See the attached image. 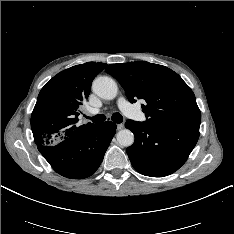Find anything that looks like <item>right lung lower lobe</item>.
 I'll list each match as a JSON object with an SVG mask.
<instances>
[{
    "label": "right lung lower lobe",
    "mask_w": 234,
    "mask_h": 234,
    "mask_svg": "<svg viewBox=\"0 0 234 234\" xmlns=\"http://www.w3.org/2000/svg\"><path fill=\"white\" fill-rule=\"evenodd\" d=\"M115 133L113 122L92 124L67 139L51 145H38V150L60 175L82 179L98 169Z\"/></svg>",
    "instance_id": "right-lung-lower-lobe-1"
}]
</instances>
